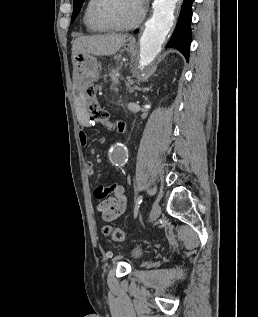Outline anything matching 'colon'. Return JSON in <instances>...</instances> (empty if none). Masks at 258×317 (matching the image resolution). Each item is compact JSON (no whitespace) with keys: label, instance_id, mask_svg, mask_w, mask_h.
Segmentation results:
<instances>
[{"label":"colon","instance_id":"obj_1","mask_svg":"<svg viewBox=\"0 0 258 317\" xmlns=\"http://www.w3.org/2000/svg\"><path fill=\"white\" fill-rule=\"evenodd\" d=\"M84 98L85 107L92 123L108 127L114 126V123L110 120L108 112L99 105L93 87H89L85 91ZM103 233L114 242H122L126 238L125 232L118 227L105 226L103 228Z\"/></svg>","mask_w":258,"mask_h":317}]
</instances>
